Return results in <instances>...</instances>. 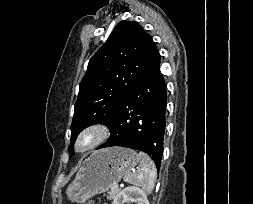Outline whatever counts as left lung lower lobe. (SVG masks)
Here are the masks:
<instances>
[{
    "mask_svg": "<svg viewBox=\"0 0 253 204\" xmlns=\"http://www.w3.org/2000/svg\"><path fill=\"white\" fill-rule=\"evenodd\" d=\"M166 82L160 72V54L153 53L141 78L122 103L108 128L109 140L97 149L122 146L143 151L159 169L165 133Z\"/></svg>",
    "mask_w": 253,
    "mask_h": 204,
    "instance_id": "0a47b994",
    "label": "left lung lower lobe"
}]
</instances>
